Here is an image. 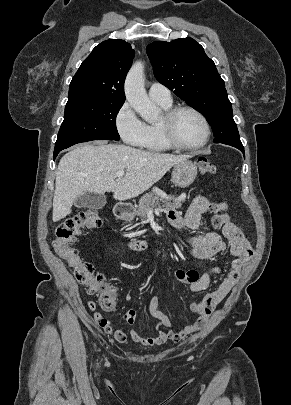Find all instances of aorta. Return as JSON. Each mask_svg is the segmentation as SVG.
<instances>
[{
    "mask_svg": "<svg viewBox=\"0 0 291 405\" xmlns=\"http://www.w3.org/2000/svg\"><path fill=\"white\" fill-rule=\"evenodd\" d=\"M126 100L133 109L145 120L157 118L158 108L149 99L144 87V65L138 61L132 65L125 80Z\"/></svg>",
    "mask_w": 291,
    "mask_h": 405,
    "instance_id": "aorta-1",
    "label": "aorta"
}]
</instances>
